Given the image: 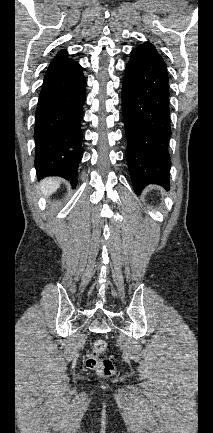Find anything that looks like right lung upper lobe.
Segmentation results:
<instances>
[{
    "mask_svg": "<svg viewBox=\"0 0 213 433\" xmlns=\"http://www.w3.org/2000/svg\"><path fill=\"white\" fill-rule=\"evenodd\" d=\"M67 51L65 50H61L60 52H58L57 56L54 59H59V58H66L67 57Z\"/></svg>",
    "mask_w": 213,
    "mask_h": 433,
    "instance_id": "1",
    "label": "right lung upper lobe"
}]
</instances>
